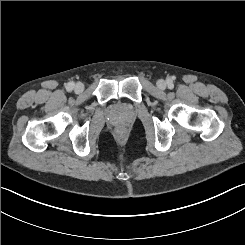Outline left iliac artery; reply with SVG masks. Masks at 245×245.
<instances>
[{"mask_svg": "<svg viewBox=\"0 0 245 245\" xmlns=\"http://www.w3.org/2000/svg\"><path fill=\"white\" fill-rule=\"evenodd\" d=\"M169 88H173L174 85L172 83H168Z\"/></svg>", "mask_w": 245, "mask_h": 245, "instance_id": "left-iliac-artery-1", "label": "left iliac artery"}]
</instances>
